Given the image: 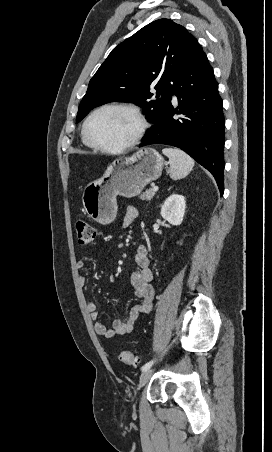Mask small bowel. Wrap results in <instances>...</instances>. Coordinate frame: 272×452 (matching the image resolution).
<instances>
[{"label": "small bowel", "mask_w": 272, "mask_h": 452, "mask_svg": "<svg viewBox=\"0 0 272 452\" xmlns=\"http://www.w3.org/2000/svg\"><path fill=\"white\" fill-rule=\"evenodd\" d=\"M138 215L139 211L136 207H127L124 226L128 227L131 225L138 218ZM134 260L137 270L131 276V284L135 289L136 296L140 298L141 302L133 306L124 318L115 320L112 327L108 328L99 320L100 315L96 303L94 301L87 303V309L90 312L91 318L95 321L94 331L101 337L111 339L116 336L129 334L133 330L138 318L143 314L149 313L152 309L155 296V291L151 284L153 271L150 268L148 250L145 245L141 244L137 246ZM85 266L86 264L82 260L76 263L78 270L84 269ZM79 283L85 286L87 284V277L80 276Z\"/></svg>", "instance_id": "1"}]
</instances>
